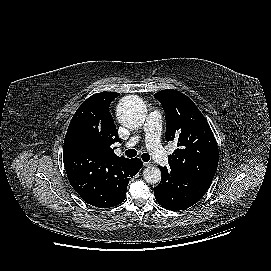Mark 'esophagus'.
<instances>
[{
	"mask_svg": "<svg viewBox=\"0 0 271 271\" xmlns=\"http://www.w3.org/2000/svg\"><path fill=\"white\" fill-rule=\"evenodd\" d=\"M143 165H144L145 167H148V166H151L152 163H151V162H144Z\"/></svg>",
	"mask_w": 271,
	"mask_h": 271,
	"instance_id": "1",
	"label": "esophagus"
}]
</instances>
